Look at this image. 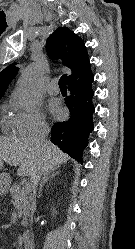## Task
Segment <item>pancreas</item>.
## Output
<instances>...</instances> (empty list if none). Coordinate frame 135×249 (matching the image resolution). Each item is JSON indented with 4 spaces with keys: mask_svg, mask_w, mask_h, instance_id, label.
<instances>
[{
    "mask_svg": "<svg viewBox=\"0 0 135 249\" xmlns=\"http://www.w3.org/2000/svg\"><path fill=\"white\" fill-rule=\"evenodd\" d=\"M10 195L15 208L19 211L23 209V213L27 214L30 208L29 192H26L19 184H13L10 188Z\"/></svg>",
    "mask_w": 135,
    "mask_h": 249,
    "instance_id": "1",
    "label": "pancreas"
}]
</instances>
